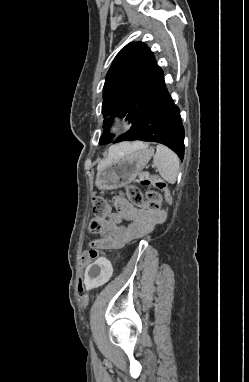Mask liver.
Returning a JSON list of instances; mask_svg holds the SVG:
<instances>
[{
    "mask_svg": "<svg viewBox=\"0 0 249 382\" xmlns=\"http://www.w3.org/2000/svg\"><path fill=\"white\" fill-rule=\"evenodd\" d=\"M146 145L142 142H134V143H121L119 145L113 146L109 149L108 157L102 160L97 169L100 170L109 164L115 157L123 155L125 153H129L131 151L137 150L139 148H143Z\"/></svg>",
    "mask_w": 249,
    "mask_h": 382,
    "instance_id": "6515ba94",
    "label": "liver"
}]
</instances>
